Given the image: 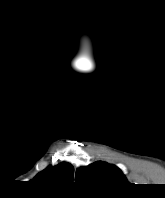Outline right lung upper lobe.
Wrapping results in <instances>:
<instances>
[{"label":"right lung upper lobe","instance_id":"right-lung-upper-lobe-1","mask_svg":"<svg viewBox=\"0 0 165 198\" xmlns=\"http://www.w3.org/2000/svg\"><path fill=\"white\" fill-rule=\"evenodd\" d=\"M73 175L72 165L63 162L55 167H47L35 177V180L46 184L71 183L73 182Z\"/></svg>","mask_w":165,"mask_h":198}]
</instances>
